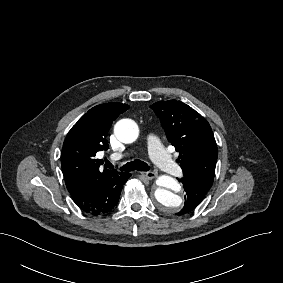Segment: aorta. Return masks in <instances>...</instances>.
<instances>
[{"instance_id":"762f6f07","label":"aorta","mask_w":283,"mask_h":283,"mask_svg":"<svg viewBox=\"0 0 283 283\" xmlns=\"http://www.w3.org/2000/svg\"><path fill=\"white\" fill-rule=\"evenodd\" d=\"M114 133L119 141L129 144L138 138L139 128L135 121L121 119L115 124ZM157 185L154 195L161 209L169 213L178 211L183 202L178 195L180 191L178 182L170 176L162 175L158 177Z\"/></svg>"}]
</instances>
